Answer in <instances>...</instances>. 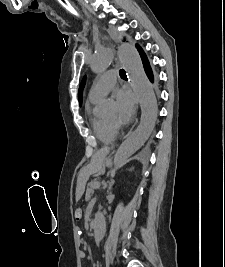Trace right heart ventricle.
Masks as SVG:
<instances>
[{"mask_svg":"<svg viewBox=\"0 0 225 267\" xmlns=\"http://www.w3.org/2000/svg\"><path fill=\"white\" fill-rule=\"evenodd\" d=\"M91 107L89 108V117L92 130L96 137L104 143H110L114 140L115 130L111 127V124L101 117L96 110V104L98 100L90 99Z\"/></svg>","mask_w":225,"mask_h":267,"instance_id":"obj_1","label":"right heart ventricle"}]
</instances>
